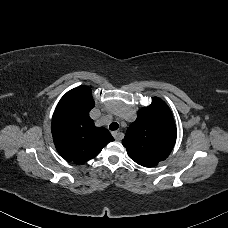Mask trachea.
I'll return each mask as SVG.
<instances>
[{
  "instance_id": "3493384b",
  "label": "trachea",
  "mask_w": 228,
  "mask_h": 228,
  "mask_svg": "<svg viewBox=\"0 0 228 228\" xmlns=\"http://www.w3.org/2000/svg\"><path fill=\"white\" fill-rule=\"evenodd\" d=\"M119 127V124L117 122H112L110 125H109V129L114 131V130H117Z\"/></svg>"
}]
</instances>
